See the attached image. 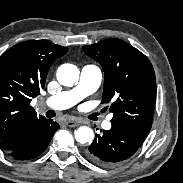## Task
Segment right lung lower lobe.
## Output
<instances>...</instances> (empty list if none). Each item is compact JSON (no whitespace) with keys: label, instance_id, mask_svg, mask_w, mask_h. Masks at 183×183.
Masks as SVG:
<instances>
[{"label":"right lung lower lobe","instance_id":"98d812e1","mask_svg":"<svg viewBox=\"0 0 183 183\" xmlns=\"http://www.w3.org/2000/svg\"><path fill=\"white\" fill-rule=\"evenodd\" d=\"M59 124L45 117L22 128L16 143L5 153L17 160H28L39 156L48 146Z\"/></svg>","mask_w":183,"mask_h":183}]
</instances>
